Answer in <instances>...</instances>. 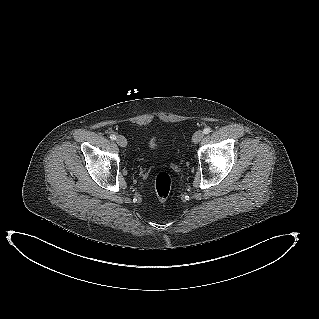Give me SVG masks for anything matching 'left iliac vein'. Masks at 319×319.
Instances as JSON below:
<instances>
[{"instance_id": "4c4485c4", "label": "left iliac vein", "mask_w": 319, "mask_h": 319, "mask_svg": "<svg viewBox=\"0 0 319 319\" xmlns=\"http://www.w3.org/2000/svg\"><path fill=\"white\" fill-rule=\"evenodd\" d=\"M203 136L204 133L202 131H196L192 137V141L197 144L202 140Z\"/></svg>"}]
</instances>
